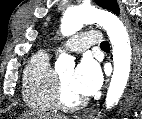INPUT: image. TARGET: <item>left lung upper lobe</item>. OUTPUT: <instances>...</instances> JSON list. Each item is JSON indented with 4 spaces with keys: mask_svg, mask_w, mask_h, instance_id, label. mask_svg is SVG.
Instances as JSON below:
<instances>
[{
    "mask_svg": "<svg viewBox=\"0 0 142 119\" xmlns=\"http://www.w3.org/2000/svg\"><path fill=\"white\" fill-rule=\"evenodd\" d=\"M95 2L98 6L119 14V7L115 0H95Z\"/></svg>",
    "mask_w": 142,
    "mask_h": 119,
    "instance_id": "1",
    "label": "left lung upper lobe"
}]
</instances>
